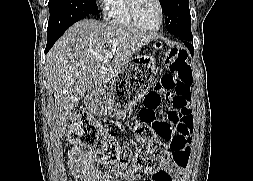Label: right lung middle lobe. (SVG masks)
<instances>
[{
	"label": "right lung middle lobe",
	"instance_id": "obj_1",
	"mask_svg": "<svg viewBox=\"0 0 253 181\" xmlns=\"http://www.w3.org/2000/svg\"><path fill=\"white\" fill-rule=\"evenodd\" d=\"M47 35L56 34L89 14H98L96 0H49Z\"/></svg>",
	"mask_w": 253,
	"mask_h": 181
}]
</instances>
